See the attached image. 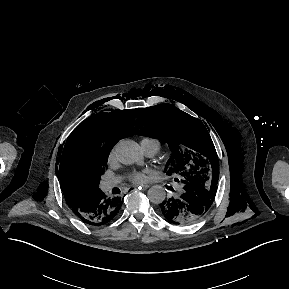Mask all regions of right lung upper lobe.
<instances>
[{
  "label": "right lung upper lobe",
  "mask_w": 289,
  "mask_h": 289,
  "mask_svg": "<svg viewBox=\"0 0 289 289\" xmlns=\"http://www.w3.org/2000/svg\"><path fill=\"white\" fill-rule=\"evenodd\" d=\"M131 110L98 113L81 122L70 134L59 154L56 171L69 207L76 208L99 191L91 183L96 167L108 157L116 142L133 135L135 120Z\"/></svg>",
  "instance_id": "1"
}]
</instances>
